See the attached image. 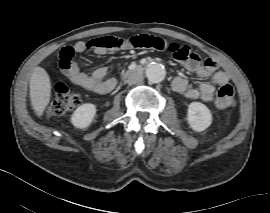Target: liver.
<instances>
[{
  "label": "liver",
  "mask_w": 270,
  "mask_h": 213,
  "mask_svg": "<svg viewBox=\"0 0 270 213\" xmlns=\"http://www.w3.org/2000/svg\"><path fill=\"white\" fill-rule=\"evenodd\" d=\"M29 88L32 107L38 116H42L51 97V80L44 68L35 67Z\"/></svg>",
  "instance_id": "liver-1"
}]
</instances>
